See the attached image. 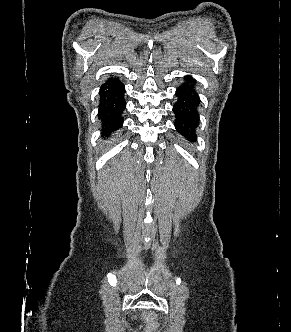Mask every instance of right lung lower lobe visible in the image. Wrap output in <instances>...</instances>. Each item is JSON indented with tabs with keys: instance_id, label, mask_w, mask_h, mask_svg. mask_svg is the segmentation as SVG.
I'll list each match as a JSON object with an SVG mask.
<instances>
[{
	"instance_id": "1",
	"label": "right lung lower lobe",
	"mask_w": 291,
	"mask_h": 332,
	"mask_svg": "<svg viewBox=\"0 0 291 332\" xmlns=\"http://www.w3.org/2000/svg\"><path fill=\"white\" fill-rule=\"evenodd\" d=\"M124 85L118 78H109L99 91L100 105L98 116L104 127V136L121 128L122 113L126 107Z\"/></svg>"
}]
</instances>
